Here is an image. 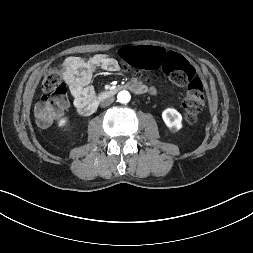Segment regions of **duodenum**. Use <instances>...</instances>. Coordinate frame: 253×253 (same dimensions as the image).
<instances>
[{
  "label": "duodenum",
  "instance_id": "410a0bca",
  "mask_svg": "<svg viewBox=\"0 0 253 253\" xmlns=\"http://www.w3.org/2000/svg\"><path fill=\"white\" fill-rule=\"evenodd\" d=\"M123 88H129L131 90H134V88L132 86H121L118 88H113V89H109L107 91H104L98 97H96V98L92 99L91 101L78 107L79 113H81L82 115L93 114L96 111L100 101L114 96L119 90H121Z\"/></svg>",
  "mask_w": 253,
  "mask_h": 253
}]
</instances>
